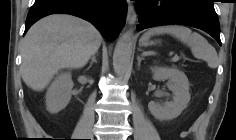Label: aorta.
I'll use <instances>...</instances> for the list:
<instances>
[{"label": "aorta", "instance_id": "1", "mask_svg": "<svg viewBox=\"0 0 236 140\" xmlns=\"http://www.w3.org/2000/svg\"><path fill=\"white\" fill-rule=\"evenodd\" d=\"M133 48V36L131 32L124 33L114 49L113 67L118 75H123L130 64L131 54Z\"/></svg>", "mask_w": 236, "mask_h": 140}]
</instances>
